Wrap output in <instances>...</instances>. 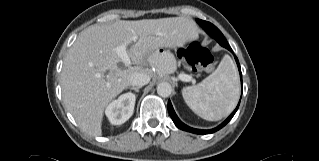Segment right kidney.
I'll return each mask as SVG.
<instances>
[{
	"instance_id": "ca27d5eb",
	"label": "right kidney",
	"mask_w": 319,
	"mask_h": 161,
	"mask_svg": "<svg viewBox=\"0 0 319 161\" xmlns=\"http://www.w3.org/2000/svg\"><path fill=\"white\" fill-rule=\"evenodd\" d=\"M135 94L128 92L122 94L117 100L112 101L105 110V114L113 125H121L133 114L135 106Z\"/></svg>"
}]
</instances>
